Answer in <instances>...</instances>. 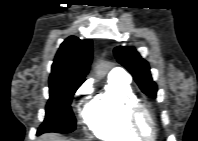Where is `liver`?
I'll use <instances>...</instances> for the list:
<instances>
[{"instance_id": "1", "label": "liver", "mask_w": 198, "mask_h": 141, "mask_svg": "<svg viewBox=\"0 0 198 141\" xmlns=\"http://www.w3.org/2000/svg\"><path fill=\"white\" fill-rule=\"evenodd\" d=\"M42 141H64V139L58 135L47 134L42 137Z\"/></svg>"}]
</instances>
